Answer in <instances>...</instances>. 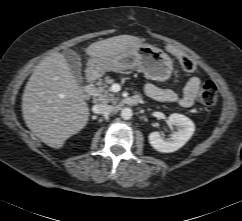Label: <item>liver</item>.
<instances>
[{
	"label": "liver",
	"mask_w": 242,
	"mask_h": 221,
	"mask_svg": "<svg viewBox=\"0 0 242 221\" xmlns=\"http://www.w3.org/2000/svg\"><path fill=\"white\" fill-rule=\"evenodd\" d=\"M142 42L135 36L119 35L94 42L85 51L90 57H117ZM22 114L35 136L55 149L86 126L88 105L60 52L52 53L35 67L22 96Z\"/></svg>",
	"instance_id": "liver-1"
}]
</instances>
